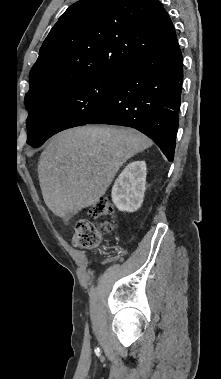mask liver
<instances>
[{
  "label": "liver",
  "mask_w": 221,
  "mask_h": 379,
  "mask_svg": "<svg viewBox=\"0 0 221 379\" xmlns=\"http://www.w3.org/2000/svg\"><path fill=\"white\" fill-rule=\"evenodd\" d=\"M152 144L132 128L85 126L58 133L38 163L45 204L62 218L94 205L119 168Z\"/></svg>",
  "instance_id": "liver-1"
}]
</instances>
